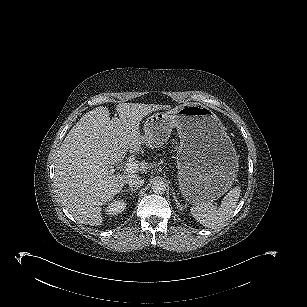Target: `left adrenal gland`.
<instances>
[{
  "label": "left adrenal gland",
  "instance_id": "left-adrenal-gland-1",
  "mask_svg": "<svg viewBox=\"0 0 307 307\" xmlns=\"http://www.w3.org/2000/svg\"><path fill=\"white\" fill-rule=\"evenodd\" d=\"M173 198H174V200H175L176 205L181 209V205H180L179 201L177 200L176 194H175L174 191H173Z\"/></svg>",
  "mask_w": 307,
  "mask_h": 307
}]
</instances>
